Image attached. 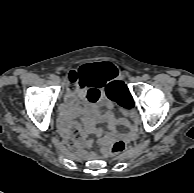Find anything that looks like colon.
Wrapping results in <instances>:
<instances>
[{
	"instance_id": "1",
	"label": "colon",
	"mask_w": 194,
	"mask_h": 193,
	"mask_svg": "<svg viewBox=\"0 0 194 193\" xmlns=\"http://www.w3.org/2000/svg\"><path fill=\"white\" fill-rule=\"evenodd\" d=\"M67 80L71 89L79 87V76L76 72L71 71L67 74ZM122 88L121 82H113L106 88V93L109 98L116 99V93ZM126 148V144L122 139H116L109 145V152L113 155L122 153Z\"/></svg>"
}]
</instances>
